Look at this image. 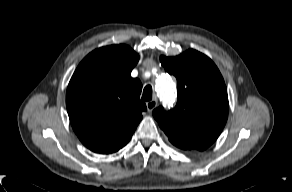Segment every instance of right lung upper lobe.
Segmentation results:
<instances>
[{"instance_id": "cb5924a9", "label": "right lung upper lobe", "mask_w": 292, "mask_h": 192, "mask_svg": "<svg viewBox=\"0 0 292 192\" xmlns=\"http://www.w3.org/2000/svg\"><path fill=\"white\" fill-rule=\"evenodd\" d=\"M139 55L127 45L98 48L78 65L67 88L66 107L74 132L91 151L125 146L142 119V84L131 77Z\"/></svg>"}]
</instances>
